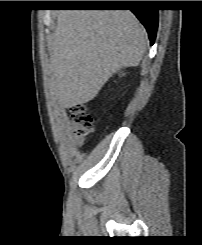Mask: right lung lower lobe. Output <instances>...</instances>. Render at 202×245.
Listing matches in <instances>:
<instances>
[{
    "label": "right lung lower lobe",
    "mask_w": 202,
    "mask_h": 245,
    "mask_svg": "<svg viewBox=\"0 0 202 245\" xmlns=\"http://www.w3.org/2000/svg\"><path fill=\"white\" fill-rule=\"evenodd\" d=\"M144 3L142 1H133L128 4L133 8L131 11L136 15V17L140 20V22L145 26L151 45L154 43L157 27H158V10L155 9H147L141 7ZM86 6H126L121 3H86ZM127 5V6H128Z\"/></svg>",
    "instance_id": "right-lung-lower-lobe-1"
}]
</instances>
